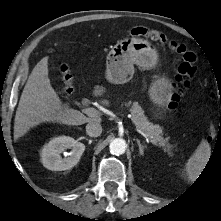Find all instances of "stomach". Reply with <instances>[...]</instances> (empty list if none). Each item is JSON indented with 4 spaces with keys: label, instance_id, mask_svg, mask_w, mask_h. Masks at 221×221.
<instances>
[{
    "label": "stomach",
    "instance_id": "1",
    "mask_svg": "<svg viewBox=\"0 0 221 221\" xmlns=\"http://www.w3.org/2000/svg\"><path fill=\"white\" fill-rule=\"evenodd\" d=\"M159 56L156 48L147 40L127 38L117 42L107 55L106 78L114 84L130 81L134 74V64L144 69L155 68ZM172 86L168 79L157 78L149 89L151 101L164 107L169 101Z\"/></svg>",
    "mask_w": 221,
    "mask_h": 221
}]
</instances>
